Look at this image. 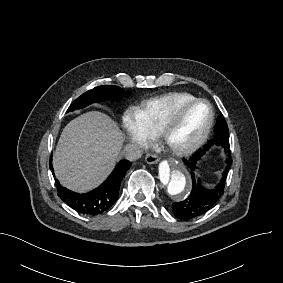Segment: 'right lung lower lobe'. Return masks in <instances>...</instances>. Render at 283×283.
Wrapping results in <instances>:
<instances>
[{
	"mask_svg": "<svg viewBox=\"0 0 283 283\" xmlns=\"http://www.w3.org/2000/svg\"><path fill=\"white\" fill-rule=\"evenodd\" d=\"M49 165L54 175L52 158H50ZM130 166L131 163L129 161H120L103 184L85 194L74 193L62 187L57 181L58 196L79 213L92 216L101 214L116 202L121 181Z\"/></svg>",
	"mask_w": 283,
	"mask_h": 283,
	"instance_id": "obj_1",
	"label": "right lung lower lobe"
}]
</instances>
